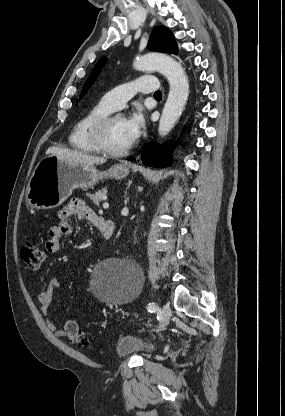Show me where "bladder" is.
<instances>
[{"mask_svg":"<svg viewBox=\"0 0 285 416\" xmlns=\"http://www.w3.org/2000/svg\"><path fill=\"white\" fill-rule=\"evenodd\" d=\"M115 352L119 356L139 354L142 358L151 357L157 350L155 342H146L139 334L125 335L120 338L115 346Z\"/></svg>","mask_w":285,"mask_h":416,"instance_id":"31cf9c89","label":"bladder"}]
</instances>
